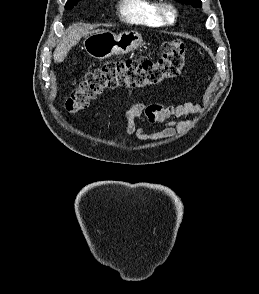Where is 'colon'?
<instances>
[{
	"mask_svg": "<svg viewBox=\"0 0 259 294\" xmlns=\"http://www.w3.org/2000/svg\"><path fill=\"white\" fill-rule=\"evenodd\" d=\"M186 47L181 40L163 43L156 61L125 59L108 62L86 73L78 87L65 100V109L75 113L88 107L105 89L145 88L178 77L185 65Z\"/></svg>",
	"mask_w": 259,
	"mask_h": 294,
	"instance_id": "obj_1",
	"label": "colon"
}]
</instances>
